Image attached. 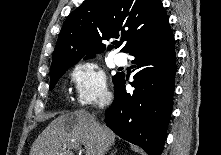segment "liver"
<instances>
[{
    "instance_id": "6515ba94",
    "label": "liver",
    "mask_w": 221,
    "mask_h": 155,
    "mask_svg": "<svg viewBox=\"0 0 221 155\" xmlns=\"http://www.w3.org/2000/svg\"><path fill=\"white\" fill-rule=\"evenodd\" d=\"M116 135L84 110L54 119L34 141L29 155H74L72 145H83L85 155H105Z\"/></svg>"
}]
</instances>
